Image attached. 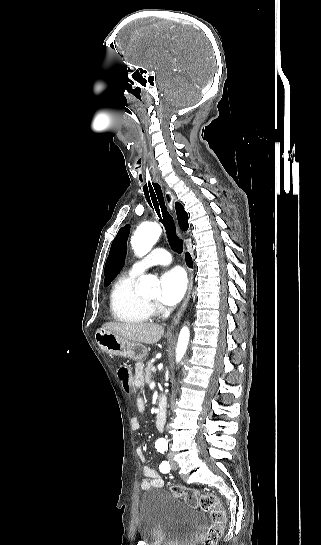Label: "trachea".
I'll return each instance as SVG.
<instances>
[{"label":"trachea","mask_w":321,"mask_h":545,"mask_svg":"<svg viewBox=\"0 0 321 545\" xmlns=\"http://www.w3.org/2000/svg\"><path fill=\"white\" fill-rule=\"evenodd\" d=\"M119 111L121 113H127L129 116L133 113L130 106H121ZM132 117L134 118L133 121L136 123L138 121L136 119L137 116L134 114ZM145 156L148 158L150 155L147 153ZM151 167L152 162L148 158L145 162V167L143 168V173L145 174L143 178V191L145 198L159 216V221L165 228L167 239L172 250H174L176 253H182L183 241L177 236L175 222L167 210L161 187L158 185L159 178L157 174H151Z\"/></svg>","instance_id":"obj_1"}]
</instances>
